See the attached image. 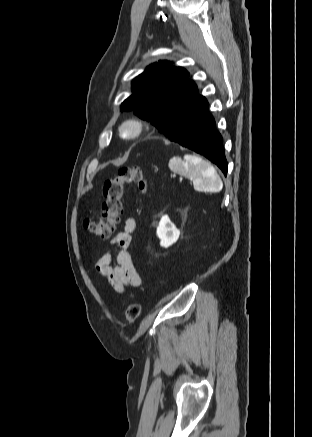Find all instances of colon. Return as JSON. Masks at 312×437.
I'll list each match as a JSON object with an SVG mask.
<instances>
[{
    "mask_svg": "<svg viewBox=\"0 0 312 437\" xmlns=\"http://www.w3.org/2000/svg\"><path fill=\"white\" fill-rule=\"evenodd\" d=\"M126 184L136 185L140 191L147 189V178L139 166L122 167L116 176L104 181L102 193L104 201L102 204L101 217L97 221L85 220L84 226L93 235L101 238L111 237L119 224L122 213V197ZM141 312L139 303H130L125 311L127 323H134Z\"/></svg>",
    "mask_w": 312,
    "mask_h": 437,
    "instance_id": "1",
    "label": "colon"
}]
</instances>
